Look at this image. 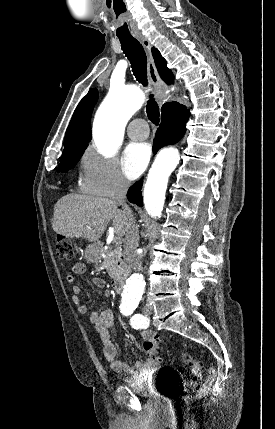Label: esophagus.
I'll return each instance as SVG.
<instances>
[{
  "label": "esophagus",
  "mask_w": 275,
  "mask_h": 429,
  "mask_svg": "<svg viewBox=\"0 0 275 429\" xmlns=\"http://www.w3.org/2000/svg\"><path fill=\"white\" fill-rule=\"evenodd\" d=\"M136 38L141 42L146 52L149 78L154 87L156 98L158 102L162 104L167 97V91L165 90L163 82L158 74L154 59L152 57L150 42L142 35H138L136 36Z\"/></svg>",
  "instance_id": "esophagus-1"
}]
</instances>
